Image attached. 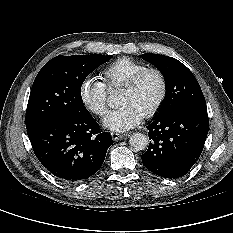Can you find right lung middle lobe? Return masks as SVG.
<instances>
[{
  "instance_id": "obj_1",
  "label": "right lung middle lobe",
  "mask_w": 233,
  "mask_h": 233,
  "mask_svg": "<svg viewBox=\"0 0 233 233\" xmlns=\"http://www.w3.org/2000/svg\"><path fill=\"white\" fill-rule=\"evenodd\" d=\"M112 55L57 56L36 76L27 105L26 128L87 112L81 97L85 78Z\"/></svg>"
}]
</instances>
